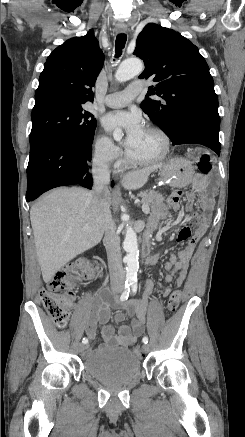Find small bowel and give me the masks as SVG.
I'll return each instance as SVG.
<instances>
[{
    "label": "small bowel",
    "mask_w": 245,
    "mask_h": 437,
    "mask_svg": "<svg viewBox=\"0 0 245 437\" xmlns=\"http://www.w3.org/2000/svg\"><path fill=\"white\" fill-rule=\"evenodd\" d=\"M192 185L195 192L202 196L203 205L208 206L210 204L209 196L214 191V187L209 184L208 179L204 176L198 175L195 177ZM169 207L175 211L180 210V205L178 203L168 202L161 206L154 215L152 222L153 226L166 217ZM187 210L192 216V221L188 225L183 226L177 235V241L186 242V246L177 254L171 253L169 260L165 264L167 270L165 281L170 283L174 280L176 286H181L184 283L195 247L205 233L210 221L208 214L197 213L193 199L188 201ZM192 228H194L193 232ZM158 256L159 253H155L151 256V265L156 263ZM154 286V281L151 279L148 280L144 286L146 295L137 300L129 301L124 306L123 310L118 311L115 314L114 320L118 325L117 331H115L113 326L108 324L111 318V312L106 297V290L98 292L91 300V311L86 324V333L90 340L93 341L96 338L98 329L100 328L101 336L105 341L104 348H125L133 345L138 337L144 333L148 303L147 294L154 288ZM171 290L170 287L165 288L164 295H169ZM126 315L132 317L131 326H128L123 322ZM93 351L94 349L89 347L86 355H91Z\"/></svg>",
    "instance_id": "1"
}]
</instances>
